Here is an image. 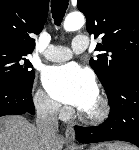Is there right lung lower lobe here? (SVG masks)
Returning <instances> with one entry per match:
<instances>
[{
	"mask_svg": "<svg viewBox=\"0 0 139 150\" xmlns=\"http://www.w3.org/2000/svg\"><path fill=\"white\" fill-rule=\"evenodd\" d=\"M32 87L24 88L0 82V117L5 115L35 114Z\"/></svg>",
	"mask_w": 139,
	"mask_h": 150,
	"instance_id": "98d812e1",
	"label": "right lung lower lobe"
}]
</instances>
